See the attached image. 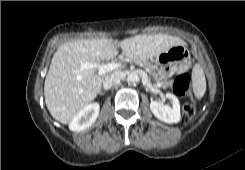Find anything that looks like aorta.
<instances>
[{"label":"aorta","instance_id":"1","mask_svg":"<svg viewBox=\"0 0 245 170\" xmlns=\"http://www.w3.org/2000/svg\"><path fill=\"white\" fill-rule=\"evenodd\" d=\"M138 81H139V76L137 73L132 72L127 76L128 83H137Z\"/></svg>","mask_w":245,"mask_h":170}]
</instances>
